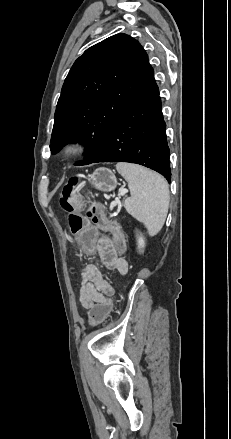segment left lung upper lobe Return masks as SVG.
Here are the masks:
<instances>
[{
	"instance_id": "obj_1",
	"label": "left lung upper lobe",
	"mask_w": 231,
	"mask_h": 439,
	"mask_svg": "<svg viewBox=\"0 0 231 439\" xmlns=\"http://www.w3.org/2000/svg\"><path fill=\"white\" fill-rule=\"evenodd\" d=\"M150 64L140 43L126 34L111 36L80 56L70 69L58 100L50 149L85 144L87 165L145 79Z\"/></svg>"
}]
</instances>
